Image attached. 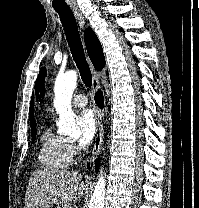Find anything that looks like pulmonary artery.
Listing matches in <instances>:
<instances>
[{"label":"pulmonary artery","mask_w":199,"mask_h":208,"mask_svg":"<svg viewBox=\"0 0 199 208\" xmlns=\"http://www.w3.org/2000/svg\"><path fill=\"white\" fill-rule=\"evenodd\" d=\"M88 103V99L84 94H77L72 100V105L75 107H84Z\"/></svg>","instance_id":"obj_1"}]
</instances>
